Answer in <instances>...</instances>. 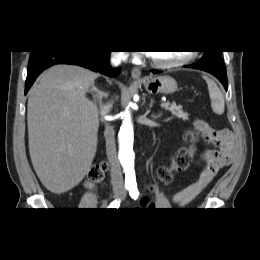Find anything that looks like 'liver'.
<instances>
[{"mask_svg": "<svg viewBox=\"0 0 260 260\" xmlns=\"http://www.w3.org/2000/svg\"><path fill=\"white\" fill-rule=\"evenodd\" d=\"M99 74L76 65H55L29 91V153L42 184L53 193L78 185L97 150L99 111L86 97Z\"/></svg>", "mask_w": 260, "mask_h": 260, "instance_id": "6515ba94", "label": "liver"}]
</instances>
